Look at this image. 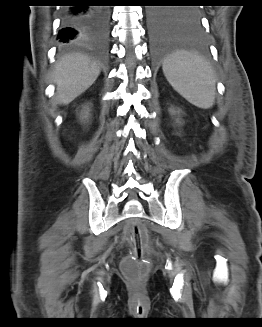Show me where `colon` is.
I'll use <instances>...</instances> for the list:
<instances>
[{
    "mask_svg": "<svg viewBox=\"0 0 262 327\" xmlns=\"http://www.w3.org/2000/svg\"><path fill=\"white\" fill-rule=\"evenodd\" d=\"M127 238L134 246L133 256L123 262L124 274L134 283L140 284L148 271V262L144 258V250L147 246V232L137 222L132 223L126 231Z\"/></svg>",
    "mask_w": 262,
    "mask_h": 327,
    "instance_id": "5ec220e1",
    "label": "colon"
}]
</instances>
